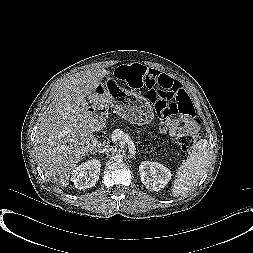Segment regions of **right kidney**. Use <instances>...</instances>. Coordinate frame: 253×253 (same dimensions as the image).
<instances>
[{
	"instance_id": "obj_1",
	"label": "right kidney",
	"mask_w": 253,
	"mask_h": 253,
	"mask_svg": "<svg viewBox=\"0 0 253 253\" xmlns=\"http://www.w3.org/2000/svg\"><path fill=\"white\" fill-rule=\"evenodd\" d=\"M101 163L92 159L77 166L71 172V180L78 189H87L96 184L100 175Z\"/></svg>"
}]
</instances>
